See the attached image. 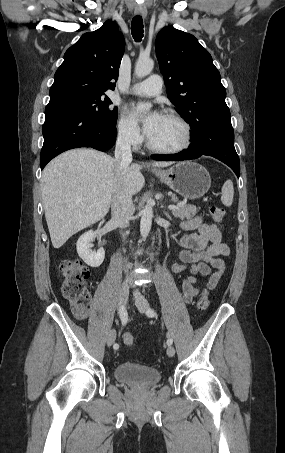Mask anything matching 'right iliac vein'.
Instances as JSON below:
<instances>
[{
	"instance_id": "right-iliac-vein-1",
	"label": "right iliac vein",
	"mask_w": 285,
	"mask_h": 453,
	"mask_svg": "<svg viewBox=\"0 0 285 453\" xmlns=\"http://www.w3.org/2000/svg\"><path fill=\"white\" fill-rule=\"evenodd\" d=\"M128 296H129V285L127 283H123L119 289V298H118L119 306L126 304V302L128 300ZM115 339H116V331L114 329H112L109 331V333L107 335V339H106L107 346L108 347L112 346Z\"/></svg>"
}]
</instances>
